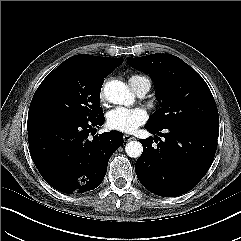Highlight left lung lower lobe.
<instances>
[{
	"label": "left lung lower lobe",
	"instance_id": "1",
	"mask_svg": "<svg viewBox=\"0 0 241 241\" xmlns=\"http://www.w3.org/2000/svg\"><path fill=\"white\" fill-rule=\"evenodd\" d=\"M145 127L159 137L140 140L143 153L135 164L140 183L163 197L179 196L193 189L213 162L219 125L182 123L159 129ZM153 140L157 147L152 146Z\"/></svg>",
	"mask_w": 241,
	"mask_h": 241
}]
</instances>
